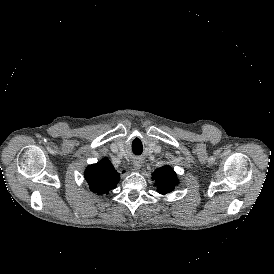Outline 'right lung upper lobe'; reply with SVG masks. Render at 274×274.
<instances>
[{"label":"right lung upper lobe","instance_id":"obj_1","mask_svg":"<svg viewBox=\"0 0 274 274\" xmlns=\"http://www.w3.org/2000/svg\"><path fill=\"white\" fill-rule=\"evenodd\" d=\"M89 189L98 195L108 194L117 186L120 174L114 169L108 158H104L96 164L89 165L84 173Z\"/></svg>","mask_w":274,"mask_h":274}]
</instances>
